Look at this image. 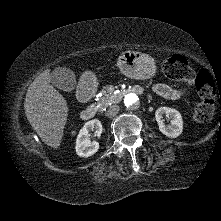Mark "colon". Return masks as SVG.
I'll return each mask as SVG.
<instances>
[{
  "mask_svg": "<svg viewBox=\"0 0 221 221\" xmlns=\"http://www.w3.org/2000/svg\"><path fill=\"white\" fill-rule=\"evenodd\" d=\"M162 71L169 79L194 86L199 93L200 101L194 110L193 118L199 123L211 120L215 111L216 88L210 73L206 70L194 72L186 58L181 55L167 59L162 64Z\"/></svg>",
  "mask_w": 221,
  "mask_h": 221,
  "instance_id": "colon-1",
  "label": "colon"
}]
</instances>
